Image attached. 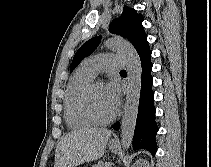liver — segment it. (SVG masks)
<instances>
[{"instance_id":"6515ba94","label":"liver","mask_w":211,"mask_h":167,"mask_svg":"<svg viewBox=\"0 0 211 167\" xmlns=\"http://www.w3.org/2000/svg\"><path fill=\"white\" fill-rule=\"evenodd\" d=\"M111 133L105 128H81L69 132L56 147L54 167H77L100 159Z\"/></svg>"}]
</instances>
